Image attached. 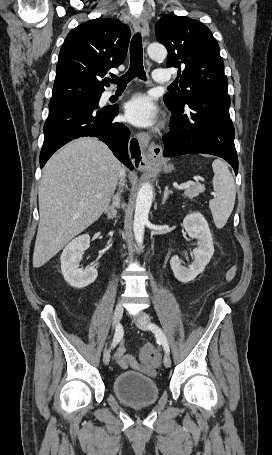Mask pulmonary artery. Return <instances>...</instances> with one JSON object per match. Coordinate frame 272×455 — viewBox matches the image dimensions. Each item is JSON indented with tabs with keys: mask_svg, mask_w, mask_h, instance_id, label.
I'll return each instance as SVG.
<instances>
[{
	"mask_svg": "<svg viewBox=\"0 0 272 455\" xmlns=\"http://www.w3.org/2000/svg\"><path fill=\"white\" fill-rule=\"evenodd\" d=\"M153 79L156 83L163 84V83H169L171 81V76L166 70L157 69L153 73ZM114 94H115L114 91H107L104 94V98L108 99L111 96H113Z\"/></svg>",
	"mask_w": 272,
	"mask_h": 455,
	"instance_id": "obj_1",
	"label": "pulmonary artery"
}]
</instances>
